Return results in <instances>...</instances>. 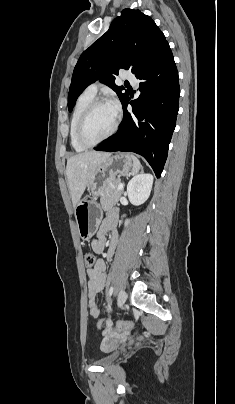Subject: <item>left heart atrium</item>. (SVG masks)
Returning a JSON list of instances; mask_svg holds the SVG:
<instances>
[{"instance_id":"39dd6f15","label":"left heart atrium","mask_w":235,"mask_h":404,"mask_svg":"<svg viewBox=\"0 0 235 404\" xmlns=\"http://www.w3.org/2000/svg\"><path fill=\"white\" fill-rule=\"evenodd\" d=\"M108 104L110 105V107L113 109V111L115 113L119 112L120 106H119V103H118V101L116 99H114V98L111 99Z\"/></svg>"}]
</instances>
